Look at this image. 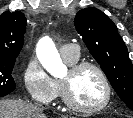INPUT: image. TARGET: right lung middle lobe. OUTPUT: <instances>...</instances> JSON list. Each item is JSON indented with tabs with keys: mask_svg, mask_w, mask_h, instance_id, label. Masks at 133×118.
<instances>
[{
	"mask_svg": "<svg viewBox=\"0 0 133 118\" xmlns=\"http://www.w3.org/2000/svg\"><path fill=\"white\" fill-rule=\"evenodd\" d=\"M15 59L0 58V97L6 96L11 93L16 83L11 75Z\"/></svg>",
	"mask_w": 133,
	"mask_h": 118,
	"instance_id": "dd1d6c3e",
	"label": "right lung middle lobe"
}]
</instances>
